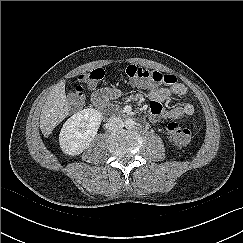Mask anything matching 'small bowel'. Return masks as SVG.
Wrapping results in <instances>:
<instances>
[{
	"label": "small bowel",
	"instance_id": "1",
	"mask_svg": "<svg viewBox=\"0 0 243 243\" xmlns=\"http://www.w3.org/2000/svg\"><path fill=\"white\" fill-rule=\"evenodd\" d=\"M134 86L146 89L148 96L151 99L149 105V118L152 121H157L160 118L179 119L182 117L191 116L194 113V107L191 104H183L175 106L171 109H166L164 104L169 101L172 95L183 96L187 93V87L182 83H177L169 88H158L152 85L133 83ZM91 89L96 87V84L89 85ZM120 92L117 89H101L92 94V102L97 104L99 100H108L119 96Z\"/></svg>",
	"mask_w": 243,
	"mask_h": 243
}]
</instances>
